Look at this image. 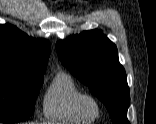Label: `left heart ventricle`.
<instances>
[{"instance_id": "1", "label": "left heart ventricle", "mask_w": 156, "mask_h": 124, "mask_svg": "<svg viewBox=\"0 0 156 124\" xmlns=\"http://www.w3.org/2000/svg\"><path fill=\"white\" fill-rule=\"evenodd\" d=\"M89 111H90V113L91 114H95V112H96V108H95V106L94 105H89Z\"/></svg>"}]
</instances>
